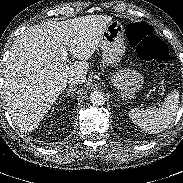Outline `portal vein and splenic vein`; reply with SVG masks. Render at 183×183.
Segmentation results:
<instances>
[{
	"label": "portal vein and splenic vein",
	"mask_w": 183,
	"mask_h": 183,
	"mask_svg": "<svg viewBox=\"0 0 183 183\" xmlns=\"http://www.w3.org/2000/svg\"><path fill=\"white\" fill-rule=\"evenodd\" d=\"M60 51H61L60 61L66 62V60L68 58V50L66 49L65 46H61Z\"/></svg>",
	"instance_id": "18ae733b"
}]
</instances>
